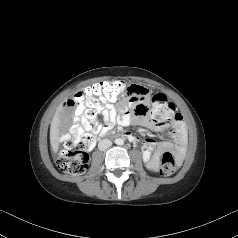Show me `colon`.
I'll list each match as a JSON object with an SVG mask.
<instances>
[{"instance_id": "5ec220e1", "label": "colon", "mask_w": 238, "mask_h": 238, "mask_svg": "<svg viewBox=\"0 0 238 238\" xmlns=\"http://www.w3.org/2000/svg\"><path fill=\"white\" fill-rule=\"evenodd\" d=\"M130 87L122 81H103L80 90L71 100L72 106L81 108L90 119L96 116V105L113 102L122 96H127ZM151 118L157 122H169L175 117L174 104L164 95L156 94L152 100ZM84 131L75 132L65 142L64 150L58 157L56 164L59 170L65 173L79 175L88 168L87 150L93 143L95 125L88 122ZM176 170V160L171 152L163 154L160 165V174L169 176Z\"/></svg>"}]
</instances>
